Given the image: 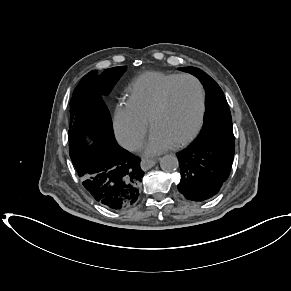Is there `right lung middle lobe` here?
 Instances as JSON below:
<instances>
[{
	"mask_svg": "<svg viewBox=\"0 0 291 291\" xmlns=\"http://www.w3.org/2000/svg\"><path fill=\"white\" fill-rule=\"evenodd\" d=\"M126 68L113 67L98 75L96 70L85 75L70 100V129L68 139L70 155L77 153L92 141L113 138L112 120L103 100Z\"/></svg>",
	"mask_w": 291,
	"mask_h": 291,
	"instance_id": "obj_1",
	"label": "right lung middle lobe"
}]
</instances>
